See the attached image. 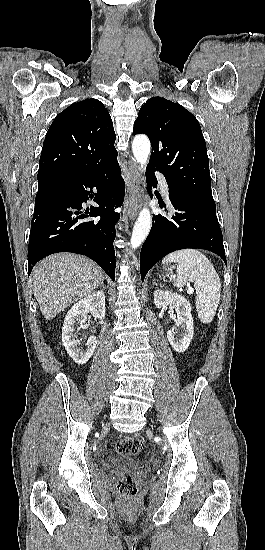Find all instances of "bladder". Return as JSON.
<instances>
[{"instance_id": "obj_1", "label": "bladder", "mask_w": 265, "mask_h": 550, "mask_svg": "<svg viewBox=\"0 0 265 550\" xmlns=\"http://www.w3.org/2000/svg\"><path fill=\"white\" fill-rule=\"evenodd\" d=\"M139 465L140 461L135 455L121 453L113 455L108 462L109 467H120L125 469L136 468Z\"/></svg>"}]
</instances>
